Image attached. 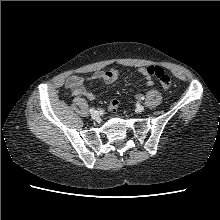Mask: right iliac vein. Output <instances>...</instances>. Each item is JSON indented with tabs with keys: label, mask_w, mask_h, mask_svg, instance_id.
Returning <instances> with one entry per match:
<instances>
[{
	"label": "right iliac vein",
	"mask_w": 220,
	"mask_h": 220,
	"mask_svg": "<svg viewBox=\"0 0 220 220\" xmlns=\"http://www.w3.org/2000/svg\"><path fill=\"white\" fill-rule=\"evenodd\" d=\"M92 119H98L99 118V113L98 111H94L91 115Z\"/></svg>",
	"instance_id": "1"
}]
</instances>
